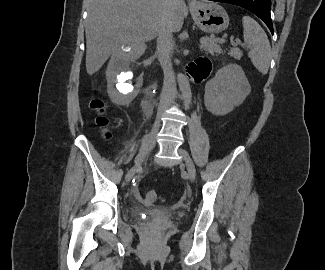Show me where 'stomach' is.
Segmentation results:
<instances>
[{"mask_svg": "<svg viewBox=\"0 0 325 270\" xmlns=\"http://www.w3.org/2000/svg\"><path fill=\"white\" fill-rule=\"evenodd\" d=\"M191 14L196 25L204 32L219 33L229 25L226 11L213 3H198L191 9Z\"/></svg>", "mask_w": 325, "mask_h": 270, "instance_id": "stomach-1", "label": "stomach"}]
</instances>
